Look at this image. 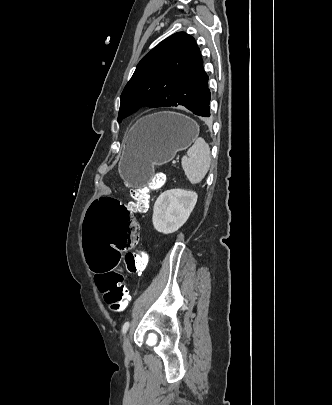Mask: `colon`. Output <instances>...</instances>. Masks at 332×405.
<instances>
[{
  "label": "colon",
  "instance_id": "obj_1",
  "mask_svg": "<svg viewBox=\"0 0 332 405\" xmlns=\"http://www.w3.org/2000/svg\"><path fill=\"white\" fill-rule=\"evenodd\" d=\"M165 176L155 175L148 186L130 191L132 207L144 212L149 207V189L159 188ZM83 249L86 268L97 273L96 281L104 300L112 312L123 311L128 302V289L124 283L123 269L130 274H141L147 267V254L135 249L141 236L134 211H130L120 197H96L90 202L83 228ZM123 257V259H120Z\"/></svg>",
  "mask_w": 332,
  "mask_h": 405
}]
</instances>
